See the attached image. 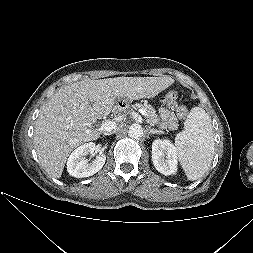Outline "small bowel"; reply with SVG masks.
<instances>
[{"label":"small bowel","instance_id":"1","mask_svg":"<svg viewBox=\"0 0 253 253\" xmlns=\"http://www.w3.org/2000/svg\"><path fill=\"white\" fill-rule=\"evenodd\" d=\"M160 117L162 120L163 127H166L170 130H175L177 128L178 126L177 118L172 110L165 107L161 108Z\"/></svg>","mask_w":253,"mask_h":253}]
</instances>
